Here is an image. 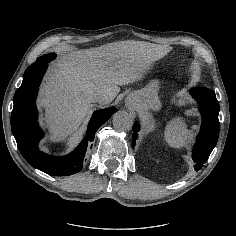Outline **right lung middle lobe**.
Listing matches in <instances>:
<instances>
[{
  "label": "right lung middle lobe",
  "mask_w": 236,
  "mask_h": 236,
  "mask_svg": "<svg viewBox=\"0 0 236 236\" xmlns=\"http://www.w3.org/2000/svg\"><path fill=\"white\" fill-rule=\"evenodd\" d=\"M55 54L54 53H50V54H47L45 56H42V57H39L37 58V60L35 61V63H33L29 69L31 68H35V67H39L45 63H49L51 60H53L55 58ZM27 71V70H26Z\"/></svg>",
  "instance_id": "obj_1"
}]
</instances>
